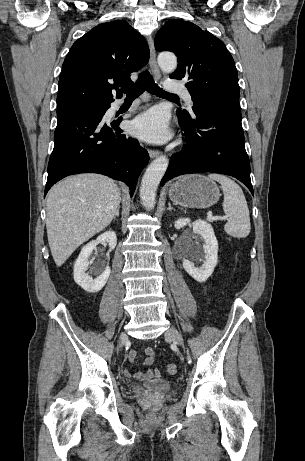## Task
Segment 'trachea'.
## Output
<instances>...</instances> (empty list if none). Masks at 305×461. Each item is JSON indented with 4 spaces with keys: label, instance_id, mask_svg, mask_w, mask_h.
<instances>
[{
    "label": "trachea",
    "instance_id": "trachea-1",
    "mask_svg": "<svg viewBox=\"0 0 305 461\" xmlns=\"http://www.w3.org/2000/svg\"><path fill=\"white\" fill-rule=\"evenodd\" d=\"M147 91L151 94L157 95L159 97H174L178 98L177 95L168 93L161 89L152 78L151 74L148 71H144L139 75L138 81L131 85L122 87V92L126 94V99H135L141 95L144 91Z\"/></svg>",
    "mask_w": 305,
    "mask_h": 461
}]
</instances>
